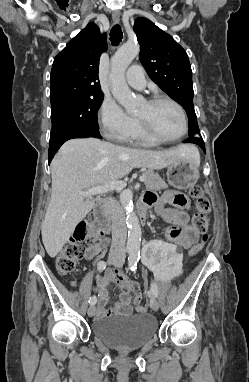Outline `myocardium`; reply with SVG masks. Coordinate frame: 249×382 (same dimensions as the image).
Wrapping results in <instances>:
<instances>
[{"mask_svg":"<svg viewBox=\"0 0 249 382\" xmlns=\"http://www.w3.org/2000/svg\"><path fill=\"white\" fill-rule=\"evenodd\" d=\"M161 102H167V103L173 105L178 110V112L181 116V119H182V124H183V130L180 133V135H178L175 138L161 137L154 131V129L146 121H144L140 118H137L140 129L147 138H149V139H151L157 143H174V142H177V141L181 140L188 132V118H187L186 112H185L184 108L176 100H174L168 96H163V95L154 96L147 101V103L149 105H155V104H158Z\"/></svg>","mask_w":249,"mask_h":382,"instance_id":"obj_1","label":"myocardium"}]
</instances>
